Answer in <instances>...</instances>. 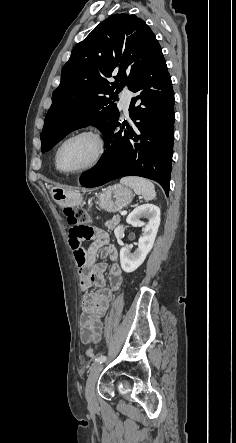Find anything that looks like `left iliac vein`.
<instances>
[{
    "mask_svg": "<svg viewBox=\"0 0 236 443\" xmlns=\"http://www.w3.org/2000/svg\"><path fill=\"white\" fill-rule=\"evenodd\" d=\"M102 368L103 365L100 363L93 365L90 369V373L86 382L85 397L89 408L92 411H95L97 409L95 386Z\"/></svg>",
    "mask_w": 236,
    "mask_h": 443,
    "instance_id": "1",
    "label": "left iliac vein"
}]
</instances>
